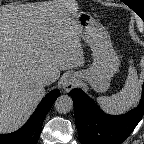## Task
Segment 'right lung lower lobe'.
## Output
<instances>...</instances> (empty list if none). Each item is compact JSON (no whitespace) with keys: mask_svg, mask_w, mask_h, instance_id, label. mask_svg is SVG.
<instances>
[{"mask_svg":"<svg viewBox=\"0 0 144 144\" xmlns=\"http://www.w3.org/2000/svg\"><path fill=\"white\" fill-rule=\"evenodd\" d=\"M59 95L58 89L47 94L22 128L10 134H0V144H37L43 120Z\"/></svg>","mask_w":144,"mask_h":144,"instance_id":"1","label":"right lung lower lobe"}]
</instances>
